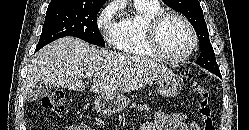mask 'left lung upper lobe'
Returning <instances> with one entry per match:
<instances>
[{
	"instance_id": "5c2ea615",
	"label": "left lung upper lobe",
	"mask_w": 249,
	"mask_h": 130,
	"mask_svg": "<svg viewBox=\"0 0 249 130\" xmlns=\"http://www.w3.org/2000/svg\"><path fill=\"white\" fill-rule=\"evenodd\" d=\"M163 2L172 9L182 13L194 27L201 48V53L196 63L220 77V70L215 59V53L209 40L207 25L199 1L163 0Z\"/></svg>"
}]
</instances>
